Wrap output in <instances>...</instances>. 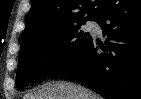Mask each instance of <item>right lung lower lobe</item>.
Wrapping results in <instances>:
<instances>
[{
    "mask_svg": "<svg viewBox=\"0 0 141 99\" xmlns=\"http://www.w3.org/2000/svg\"><path fill=\"white\" fill-rule=\"evenodd\" d=\"M95 21L106 43L92 38L54 76L80 80L107 99H141V0H114Z\"/></svg>",
    "mask_w": 141,
    "mask_h": 99,
    "instance_id": "98d812e1",
    "label": "right lung lower lobe"
}]
</instances>
